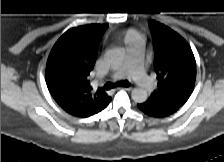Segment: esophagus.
Instances as JSON below:
<instances>
[{"mask_svg": "<svg viewBox=\"0 0 224 162\" xmlns=\"http://www.w3.org/2000/svg\"><path fill=\"white\" fill-rule=\"evenodd\" d=\"M118 89H124V90H128V91H131V90H132L131 87L117 88V90H118Z\"/></svg>", "mask_w": 224, "mask_h": 162, "instance_id": "obj_1", "label": "esophagus"}]
</instances>
